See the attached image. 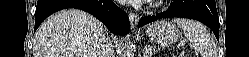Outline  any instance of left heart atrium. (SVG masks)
<instances>
[{
  "instance_id": "1",
  "label": "left heart atrium",
  "mask_w": 249,
  "mask_h": 57,
  "mask_svg": "<svg viewBox=\"0 0 249 57\" xmlns=\"http://www.w3.org/2000/svg\"><path fill=\"white\" fill-rule=\"evenodd\" d=\"M151 0H130L129 2L131 3H145V2H150Z\"/></svg>"
}]
</instances>
